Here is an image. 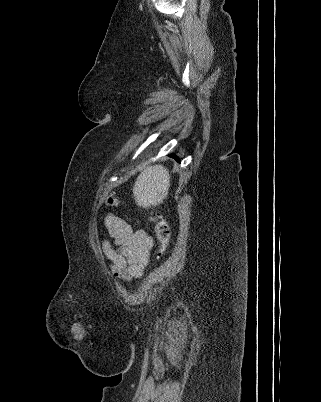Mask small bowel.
<instances>
[{"label":"small bowel","mask_w":321,"mask_h":402,"mask_svg":"<svg viewBox=\"0 0 321 402\" xmlns=\"http://www.w3.org/2000/svg\"><path fill=\"white\" fill-rule=\"evenodd\" d=\"M105 226L112 243L104 241L102 250L111 261L112 274L125 281L140 278L149 263L154 244L152 237L143 229H133L122 217L113 213L105 217ZM71 326L76 329V339L85 338L86 333L81 328H87V321L73 320Z\"/></svg>","instance_id":"1"}]
</instances>
